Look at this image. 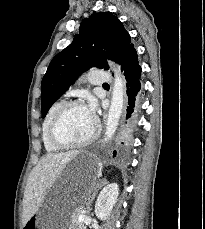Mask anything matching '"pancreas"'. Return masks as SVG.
I'll return each mask as SVG.
<instances>
[{"instance_id": "pancreas-1", "label": "pancreas", "mask_w": 205, "mask_h": 229, "mask_svg": "<svg viewBox=\"0 0 205 229\" xmlns=\"http://www.w3.org/2000/svg\"><path fill=\"white\" fill-rule=\"evenodd\" d=\"M81 213L77 210V212L74 214L72 218V229H85L84 224L80 221H78V216Z\"/></svg>"}]
</instances>
